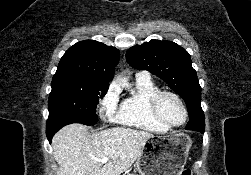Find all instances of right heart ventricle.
<instances>
[{"label": "right heart ventricle", "instance_id": "1", "mask_svg": "<svg viewBox=\"0 0 251 175\" xmlns=\"http://www.w3.org/2000/svg\"><path fill=\"white\" fill-rule=\"evenodd\" d=\"M158 90L151 80H136L131 95L121 104L116 121L154 134L168 133L149 111V99Z\"/></svg>", "mask_w": 251, "mask_h": 175}]
</instances>
